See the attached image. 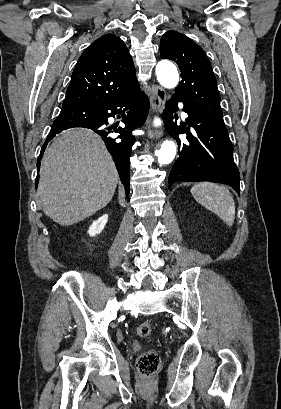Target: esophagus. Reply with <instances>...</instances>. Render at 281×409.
Returning a JSON list of instances; mask_svg holds the SVG:
<instances>
[{
	"label": "esophagus",
	"instance_id": "34e87169",
	"mask_svg": "<svg viewBox=\"0 0 281 409\" xmlns=\"http://www.w3.org/2000/svg\"><path fill=\"white\" fill-rule=\"evenodd\" d=\"M151 110L153 114H159L163 111L166 102V92L159 85H152ZM163 131L161 129H154L148 127V136L151 139H159L162 137Z\"/></svg>",
	"mask_w": 281,
	"mask_h": 409
}]
</instances>
